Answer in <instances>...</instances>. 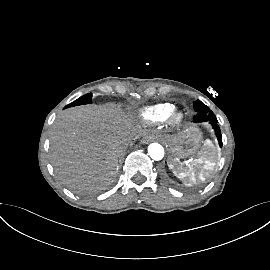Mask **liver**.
I'll return each instance as SVG.
<instances>
[{
  "instance_id": "1",
  "label": "liver",
  "mask_w": 270,
  "mask_h": 270,
  "mask_svg": "<svg viewBox=\"0 0 270 270\" xmlns=\"http://www.w3.org/2000/svg\"><path fill=\"white\" fill-rule=\"evenodd\" d=\"M130 124L113 104L64 110L51 129V161L56 172L72 187L104 188L117 173L118 149L132 134Z\"/></svg>"
}]
</instances>
